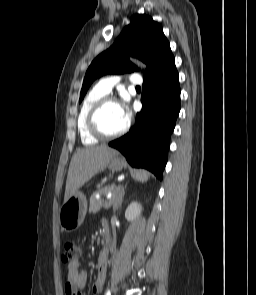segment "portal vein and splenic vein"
Here are the masks:
<instances>
[{"label":"portal vein and splenic vein","mask_w":256,"mask_h":295,"mask_svg":"<svg viewBox=\"0 0 256 295\" xmlns=\"http://www.w3.org/2000/svg\"><path fill=\"white\" fill-rule=\"evenodd\" d=\"M114 202V199L110 198V200L107 202L108 206H111Z\"/></svg>","instance_id":"portal-vein-and-splenic-vein-1"}]
</instances>
